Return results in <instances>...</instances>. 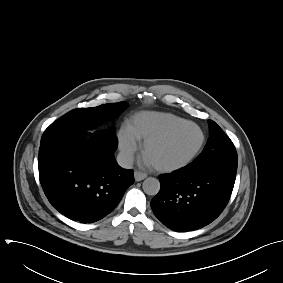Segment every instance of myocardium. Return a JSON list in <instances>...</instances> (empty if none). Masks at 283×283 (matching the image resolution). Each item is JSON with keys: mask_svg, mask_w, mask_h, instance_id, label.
Returning <instances> with one entry per match:
<instances>
[{"mask_svg": "<svg viewBox=\"0 0 283 283\" xmlns=\"http://www.w3.org/2000/svg\"><path fill=\"white\" fill-rule=\"evenodd\" d=\"M184 125H191L199 131L200 140H199V143L197 144L196 148L193 150V152L188 157H186L185 159H183L182 161H180L178 163H175V164H172V165H153V164H151L152 168L155 169L156 171L161 172V173H172V172L179 171V170L187 167L188 165H190L197 158V156L200 154L201 150L204 147L205 140H206L205 133H204L203 129L197 123L190 121V120H183L181 122H178V123H175V124L169 126L168 128L164 129L160 133L145 139L141 144L142 155L145 156V151H146V149L148 148L149 145L164 140L172 132H174L176 129H178L179 127L184 126Z\"/></svg>", "mask_w": 283, "mask_h": 283, "instance_id": "f54148a6", "label": "myocardium"}]
</instances>
